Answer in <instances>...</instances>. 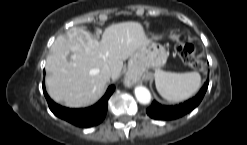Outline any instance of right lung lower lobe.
Wrapping results in <instances>:
<instances>
[{
    "label": "right lung lower lobe",
    "mask_w": 247,
    "mask_h": 145,
    "mask_svg": "<svg viewBox=\"0 0 247 145\" xmlns=\"http://www.w3.org/2000/svg\"><path fill=\"white\" fill-rule=\"evenodd\" d=\"M115 90L111 85L102 99L95 105L85 109H70L62 107L53 102L46 93L43 85V92L48 102L50 110L59 118L79 127H90L103 121L107 112L108 99Z\"/></svg>",
    "instance_id": "obj_1"
}]
</instances>
